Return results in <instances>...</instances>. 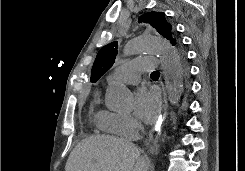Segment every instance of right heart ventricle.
<instances>
[{
	"instance_id": "right-heart-ventricle-1",
	"label": "right heart ventricle",
	"mask_w": 245,
	"mask_h": 171,
	"mask_svg": "<svg viewBox=\"0 0 245 171\" xmlns=\"http://www.w3.org/2000/svg\"><path fill=\"white\" fill-rule=\"evenodd\" d=\"M107 113H109V112H108V111H104V110L96 111V112L94 113L93 119H94V122L98 125V127H100V125H101V120H102V118H103Z\"/></svg>"
}]
</instances>
